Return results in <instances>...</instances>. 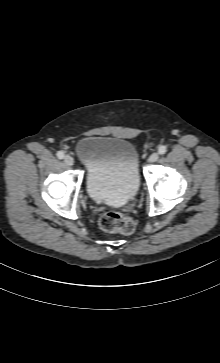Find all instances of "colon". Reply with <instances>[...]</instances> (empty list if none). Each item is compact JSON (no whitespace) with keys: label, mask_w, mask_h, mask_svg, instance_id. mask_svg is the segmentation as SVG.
<instances>
[{"label":"colon","mask_w":220,"mask_h":363,"mask_svg":"<svg viewBox=\"0 0 220 363\" xmlns=\"http://www.w3.org/2000/svg\"><path fill=\"white\" fill-rule=\"evenodd\" d=\"M99 226L106 232L130 235L135 230L133 219L117 211H107L101 215Z\"/></svg>","instance_id":"obj_1"}]
</instances>
